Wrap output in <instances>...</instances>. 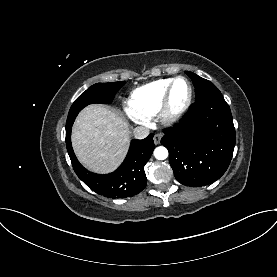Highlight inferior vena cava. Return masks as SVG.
<instances>
[{
  "label": "inferior vena cava",
  "instance_id": "inferior-vena-cava-1",
  "mask_svg": "<svg viewBox=\"0 0 277 277\" xmlns=\"http://www.w3.org/2000/svg\"><path fill=\"white\" fill-rule=\"evenodd\" d=\"M149 135V129L146 127H136L133 130V136L136 139H144Z\"/></svg>",
  "mask_w": 277,
  "mask_h": 277
}]
</instances>
